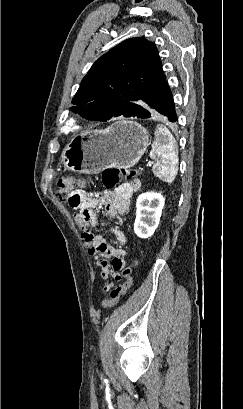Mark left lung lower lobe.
<instances>
[{"mask_svg": "<svg viewBox=\"0 0 243 409\" xmlns=\"http://www.w3.org/2000/svg\"><path fill=\"white\" fill-rule=\"evenodd\" d=\"M165 116L170 122L177 121L175 106L171 89L166 83V78L159 84L146 92L136 104H129L124 107L123 116L150 118L155 114ZM119 113H108L100 121H106L112 117H117Z\"/></svg>", "mask_w": 243, "mask_h": 409, "instance_id": "obj_1", "label": "left lung lower lobe"}]
</instances>
